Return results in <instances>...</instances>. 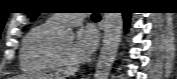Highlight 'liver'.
<instances>
[{"instance_id": "1", "label": "liver", "mask_w": 177, "mask_h": 79, "mask_svg": "<svg viewBox=\"0 0 177 79\" xmlns=\"http://www.w3.org/2000/svg\"><path fill=\"white\" fill-rule=\"evenodd\" d=\"M14 79H57L53 76H15Z\"/></svg>"}]
</instances>
